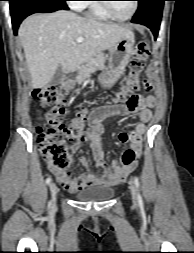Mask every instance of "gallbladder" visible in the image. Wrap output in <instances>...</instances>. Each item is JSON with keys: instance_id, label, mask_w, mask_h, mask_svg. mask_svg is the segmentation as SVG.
<instances>
[{"instance_id": "obj_1", "label": "gallbladder", "mask_w": 194, "mask_h": 253, "mask_svg": "<svg viewBox=\"0 0 194 253\" xmlns=\"http://www.w3.org/2000/svg\"><path fill=\"white\" fill-rule=\"evenodd\" d=\"M63 76H64L63 68L58 67L55 74H54V76H53V78H52V80H51V82H50L51 85L56 86V85L60 84L61 81H62Z\"/></svg>"}]
</instances>
